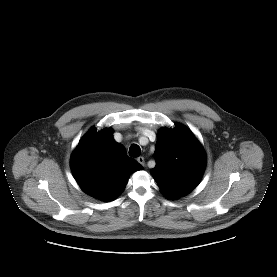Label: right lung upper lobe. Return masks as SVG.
Returning <instances> with one entry per match:
<instances>
[{
	"label": "right lung upper lobe",
	"mask_w": 277,
	"mask_h": 277,
	"mask_svg": "<svg viewBox=\"0 0 277 277\" xmlns=\"http://www.w3.org/2000/svg\"><path fill=\"white\" fill-rule=\"evenodd\" d=\"M71 170L84 192L102 201L115 199L125 188L129 174L142 169L117 143L111 129L91 128L71 157Z\"/></svg>",
	"instance_id": "right-lung-upper-lobe-1"
}]
</instances>
